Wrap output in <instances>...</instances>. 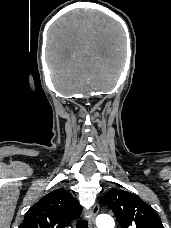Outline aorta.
<instances>
[{"label":"aorta","mask_w":171,"mask_h":228,"mask_svg":"<svg viewBox=\"0 0 171 228\" xmlns=\"http://www.w3.org/2000/svg\"><path fill=\"white\" fill-rule=\"evenodd\" d=\"M96 224L98 228H114L115 226L113 218L106 214L99 215Z\"/></svg>","instance_id":"1"}]
</instances>
